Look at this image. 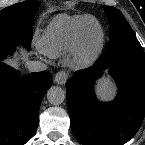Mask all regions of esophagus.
<instances>
[{
	"mask_svg": "<svg viewBox=\"0 0 145 145\" xmlns=\"http://www.w3.org/2000/svg\"><path fill=\"white\" fill-rule=\"evenodd\" d=\"M55 83H57L58 85H63L66 83L67 81V74L65 71H60L55 75L54 78Z\"/></svg>",
	"mask_w": 145,
	"mask_h": 145,
	"instance_id": "1",
	"label": "esophagus"
}]
</instances>
